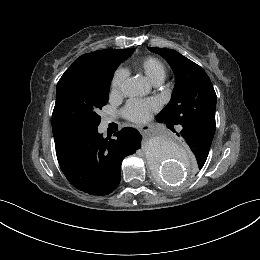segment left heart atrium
<instances>
[{"mask_svg": "<svg viewBox=\"0 0 260 260\" xmlns=\"http://www.w3.org/2000/svg\"><path fill=\"white\" fill-rule=\"evenodd\" d=\"M155 107L156 104L153 101L130 100L124 109V115L133 122H143L150 117Z\"/></svg>", "mask_w": 260, "mask_h": 260, "instance_id": "obj_1", "label": "left heart atrium"}]
</instances>
